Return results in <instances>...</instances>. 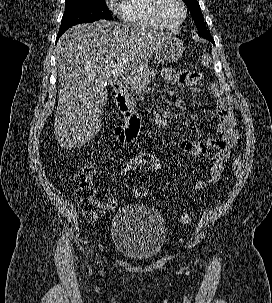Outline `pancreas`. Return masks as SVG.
<instances>
[{
  "label": "pancreas",
  "mask_w": 272,
  "mask_h": 303,
  "mask_svg": "<svg viewBox=\"0 0 272 303\" xmlns=\"http://www.w3.org/2000/svg\"><path fill=\"white\" fill-rule=\"evenodd\" d=\"M155 75L156 72L153 69H145L140 74L134 76L130 82L132 93L138 95L144 91L151 78H154ZM128 96L133 103L134 98L132 97V94H128Z\"/></svg>",
  "instance_id": "1"
}]
</instances>
